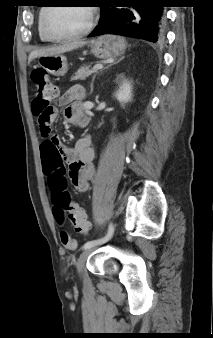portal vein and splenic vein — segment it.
<instances>
[{
	"label": "portal vein and splenic vein",
	"instance_id": "obj_1",
	"mask_svg": "<svg viewBox=\"0 0 213 338\" xmlns=\"http://www.w3.org/2000/svg\"><path fill=\"white\" fill-rule=\"evenodd\" d=\"M103 65L102 64H96L93 69H102Z\"/></svg>",
	"mask_w": 213,
	"mask_h": 338
}]
</instances>
